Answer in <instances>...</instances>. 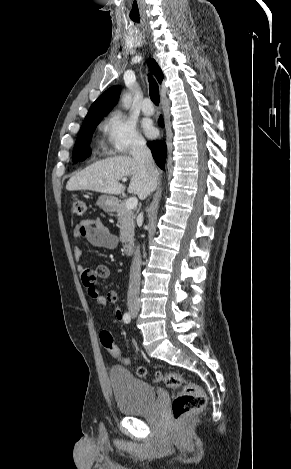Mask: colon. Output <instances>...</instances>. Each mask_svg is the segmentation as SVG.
<instances>
[{"mask_svg": "<svg viewBox=\"0 0 291 469\" xmlns=\"http://www.w3.org/2000/svg\"><path fill=\"white\" fill-rule=\"evenodd\" d=\"M71 214L75 217H84L87 214V204L79 197L72 200L70 206ZM93 303L98 308L105 306V301L101 296H95ZM100 342L106 351L114 358H122L119 348L114 344L112 335L107 331L100 332ZM125 363H129L128 359H123ZM137 374L141 377L147 375V369L143 366L137 368ZM154 379L158 383L177 391V394L171 403L172 417L179 421L188 414L202 409L206 404V395L202 388L186 379L179 373L175 372H156Z\"/></svg>", "mask_w": 291, "mask_h": 469, "instance_id": "1", "label": "colon"}]
</instances>
